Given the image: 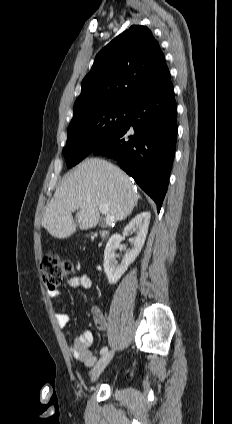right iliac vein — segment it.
<instances>
[{"mask_svg": "<svg viewBox=\"0 0 232 424\" xmlns=\"http://www.w3.org/2000/svg\"><path fill=\"white\" fill-rule=\"evenodd\" d=\"M114 356V351L103 354L92 370L91 381L95 382Z\"/></svg>", "mask_w": 232, "mask_h": 424, "instance_id": "obj_1", "label": "right iliac vein"}]
</instances>
